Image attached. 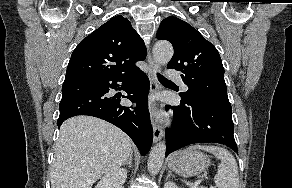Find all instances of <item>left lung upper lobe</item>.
<instances>
[{"mask_svg": "<svg viewBox=\"0 0 292 188\" xmlns=\"http://www.w3.org/2000/svg\"><path fill=\"white\" fill-rule=\"evenodd\" d=\"M158 39L172 43L174 55L168 68L181 71L188 91L180 93L182 99L227 101L224 68L215 46L187 22L167 17L161 22Z\"/></svg>", "mask_w": 292, "mask_h": 188, "instance_id": "1", "label": "left lung upper lobe"}]
</instances>
